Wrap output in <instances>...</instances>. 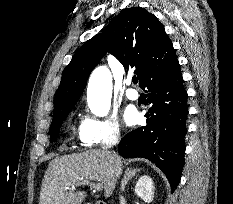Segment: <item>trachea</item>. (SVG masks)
I'll list each match as a JSON object with an SVG mask.
<instances>
[{
    "instance_id": "3493384b",
    "label": "trachea",
    "mask_w": 233,
    "mask_h": 204,
    "mask_svg": "<svg viewBox=\"0 0 233 204\" xmlns=\"http://www.w3.org/2000/svg\"><path fill=\"white\" fill-rule=\"evenodd\" d=\"M132 81H133L134 84H137L138 83L137 77H133Z\"/></svg>"
}]
</instances>
